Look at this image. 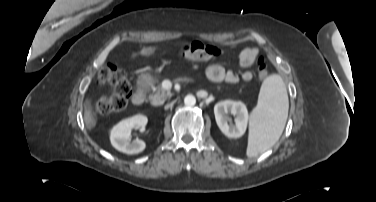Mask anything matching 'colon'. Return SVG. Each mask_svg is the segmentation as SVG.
Returning a JSON list of instances; mask_svg holds the SVG:
<instances>
[{"label":"colon","mask_w":376,"mask_h":202,"mask_svg":"<svg viewBox=\"0 0 376 202\" xmlns=\"http://www.w3.org/2000/svg\"><path fill=\"white\" fill-rule=\"evenodd\" d=\"M223 53L218 46L192 41L180 48L182 58L193 61H207L218 58ZM257 75L260 80L269 76V68L262 56L256 60ZM100 84H109L113 87L112 94L99 99L94 106L98 114H109L124 109L132 94V88L123 70L113 64L105 65L98 74Z\"/></svg>","instance_id":"1"}]
</instances>
